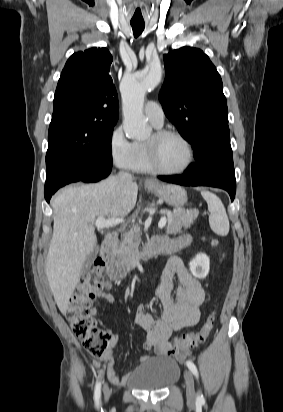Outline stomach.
Instances as JSON below:
<instances>
[{"mask_svg":"<svg viewBox=\"0 0 283 412\" xmlns=\"http://www.w3.org/2000/svg\"><path fill=\"white\" fill-rule=\"evenodd\" d=\"M149 190L172 207H180L187 202L186 191L177 185H158Z\"/></svg>","mask_w":283,"mask_h":412,"instance_id":"stomach-1","label":"stomach"}]
</instances>
